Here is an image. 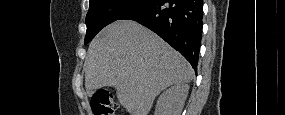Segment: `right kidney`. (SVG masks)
<instances>
[{
    "mask_svg": "<svg viewBox=\"0 0 285 115\" xmlns=\"http://www.w3.org/2000/svg\"><path fill=\"white\" fill-rule=\"evenodd\" d=\"M188 91L189 85L184 83L165 90L157 100L155 115H180Z\"/></svg>",
    "mask_w": 285,
    "mask_h": 115,
    "instance_id": "obj_1",
    "label": "right kidney"
}]
</instances>
